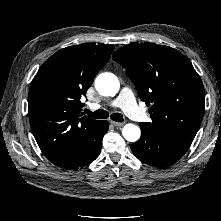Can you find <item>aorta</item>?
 <instances>
[{
    "instance_id": "aorta-1",
    "label": "aorta",
    "mask_w": 221,
    "mask_h": 221,
    "mask_svg": "<svg viewBox=\"0 0 221 221\" xmlns=\"http://www.w3.org/2000/svg\"><path fill=\"white\" fill-rule=\"evenodd\" d=\"M95 88L103 96H115L120 88L118 78L109 72L101 73L95 80ZM123 137L129 142L139 140L141 130L134 124H126L122 129Z\"/></svg>"
}]
</instances>
